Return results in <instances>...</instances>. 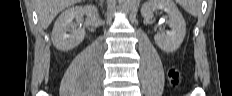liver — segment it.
<instances>
[{"label": "liver", "instance_id": "1", "mask_svg": "<svg viewBox=\"0 0 232 96\" xmlns=\"http://www.w3.org/2000/svg\"><path fill=\"white\" fill-rule=\"evenodd\" d=\"M79 1L80 0H35L41 27L47 29L54 18L63 9Z\"/></svg>", "mask_w": 232, "mask_h": 96}]
</instances>
